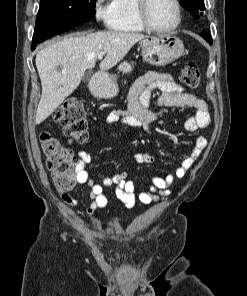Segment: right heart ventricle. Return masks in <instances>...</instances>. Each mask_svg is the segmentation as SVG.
Returning a JSON list of instances; mask_svg holds the SVG:
<instances>
[{"instance_id":"e07e8e85","label":"right heart ventricle","mask_w":247,"mask_h":296,"mask_svg":"<svg viewBox=\"0 0 247 296\" xmlns=\"http://www.w3.org/2000/svg\"><path fill=\"white\" fill-rule=\"evenodd\" d=\"M114 20L111 29L119 32L138 33L145 28L140 24L136 16V0H113Z\"/></svg>"}]
</instances>
